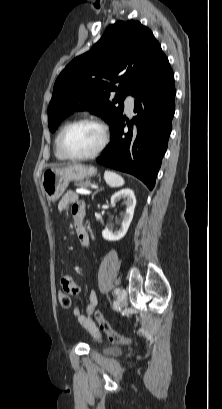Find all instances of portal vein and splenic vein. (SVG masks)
<instances>
[{"label": "portal vein and splenic vein", "mask_w": 222, "mask_h": 409, "mask_svg": "<svg viewBox=\"0 0 222 409\" xmlns=\"http://www.w3.org/2000/svg\"><path fill=\"white\" fill-rule=\"evenodd\" d=\"M77 192L80 193V194H84V195H87V194H90V193H91V192L88 191V190H77Z\"/></svg>", "instance_id": "1"}]
</instances>
